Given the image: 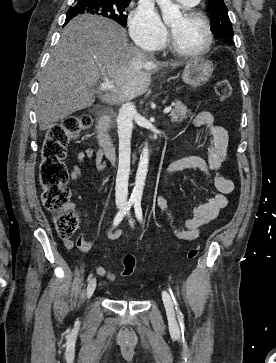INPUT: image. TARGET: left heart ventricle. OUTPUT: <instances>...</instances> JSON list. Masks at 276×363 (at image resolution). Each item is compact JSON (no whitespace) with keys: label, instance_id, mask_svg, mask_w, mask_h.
Returning a JSON list of instances; mask_svg holds the SVG:
<instances>
[{"label":"left heart ventricle","instance_id":"obj_1","mask_svg":"<svg viewBox=\"0 0 276 363\" xmlns=\"http://www.w3.org/2000/svg\"><path fill=\"white\" fill-rule=\"evenodd\" d=\"M170 27L176 42L186 50L197 51L206 44L207 33L201 21L180 15L170 23Z\"/></svg>","mask_w":276,"mask_h":363}]
</instances>
